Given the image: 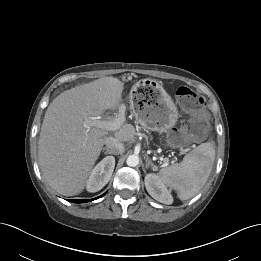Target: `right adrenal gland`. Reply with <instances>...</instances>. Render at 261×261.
<instances>
[{"instance_id":"right-adrenal-gland-1","label":"right adrenal gland","mask_w":261,"mask_h":261,"mask_svg":"<svg viewBox=\"0 0 261 261\" xmlns=\"http://www.w3.org/2000/svg\"><path fill=\"white\" fill-rule=\"evenodd\" d=\"M104 154H112L109 150H107L106 148H103Z\"/></svg>"}]
</instances>
